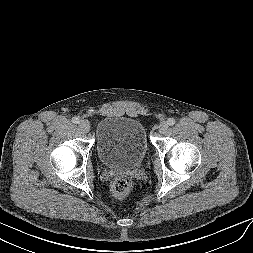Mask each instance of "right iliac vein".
<instances>
[{
    "mask_svg": "<svg viewBox=\"0 0 253 253\" xmlns=\"http://www.w3.org/2000/svg\"><path fill=\"white\" fill-rule=\"evenodd\" d=\"M78 127H79V129H80L82 132H84V133H87V132H89V130H90V125H89V123H88L87 121H85V120L79 121Z\"/></svg>",
    "mask_w": 253,
    "mask_h": 253,
    "instance_id": "1",
    "label": "right iliac vein"
}]
</instances>
